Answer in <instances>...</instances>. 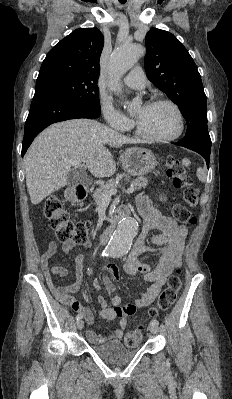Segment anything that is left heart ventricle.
I'll use <instances>...</instances> for the list:
<instances>
[{"mask_svg":"<svg viewBox=\"0 0 232 399\" xmlns=\"http://www.w3.org/2000/svg\"><path fill=\"white\" fill-rule=\"evenodd\" d=\"M134 117L143 132L152 137L173 135L179 125L177 113L169 105L138 107Z\"/></svg>","mask_w":232,"mask_h":399,"instance_id":"1","label":"left heart ventricle"}]
</instances>
